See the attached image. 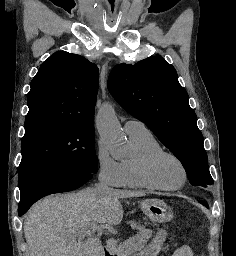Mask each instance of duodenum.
Returning <instances> with one entry per match:
<instances>
[{
	"label": "duodenum",
	"instance_id": "410a0bca",
	"mask_svg": "<svg viewBox=\"0 0 236 256\" xmlns=\"http://www.w3.org/2000/svg\"><path fill=\"white\" fill-rule=\"evenodd\" d=\"M98 256H113V253L111 249L105 245L99 250Z\"/></svg>",
	"mask_w": 236,
	"mask_h": 256
}]
</instances>
